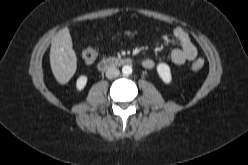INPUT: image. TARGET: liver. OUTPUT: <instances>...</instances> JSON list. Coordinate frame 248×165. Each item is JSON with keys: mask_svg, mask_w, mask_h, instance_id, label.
I'll list each match as a JSON object with an SVG mask.
<instances>
[{"mask_svg": "<svg viewBox=\"0 0 248 165\" xmlns=\"http://www.w3.org/2000/svg\"><path fill=\"white\" fill-rule=\"evenodd\" d=\"M72 46L68 27L59 30L52 39L50 65L55 79L60 84H66L77 69V57Z\"/></svg>", "mask_w": 248, "mask_h": 165, "instance_id": "1", "label": "liver"}]
</instances>
